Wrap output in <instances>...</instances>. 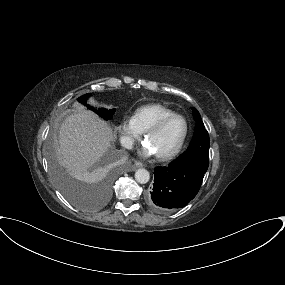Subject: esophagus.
Instances as JSON below:
<instances>
[{"label": "esophagus", "instance_id": "1", "mask_svg": "<svg viewBox=\"0 0 285 285\" xmlns=\"http://www.w3.org/2000/svg\"><path fill=\"white\" fill-rule=\"evenodd\" d=\"M143 166H144L143 163L136 161L135 164L128 169V171H134L137 168H141Z\"/></svg>", "mask_w": 285, "mask_h": 285}]
</instances>
